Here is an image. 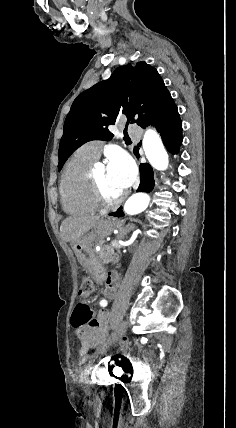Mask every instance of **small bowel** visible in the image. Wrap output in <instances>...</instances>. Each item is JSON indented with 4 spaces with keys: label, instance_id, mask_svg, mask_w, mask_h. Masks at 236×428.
<instances>
[{
    "label": "small bowel",
    "instance_id": "small-bowel-1",
    "mask_svg": "<svg viewBox=\"0 0 236 428\" xmlns=\"http://www.w3.org/2000/svg\"><path fill=\"white\" fill-rule=\"evenodd\" d=\"M119 276L117 273H110L105 282L104 294L107 299L115 296L118 288ZM96 325H89V327L82 329L80 332H75L76 336L80 339L82 344L81 353H86L96 344L105 339L107 330V313L104 310L99 311L96 316Z\"/></svg>",
    "mask_w": 236,
    "mask_h": 428
}]
</instances>
